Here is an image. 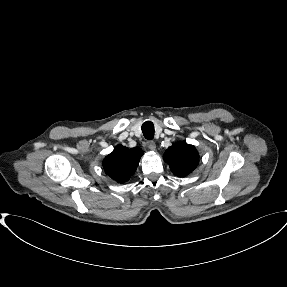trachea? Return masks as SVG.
Segmentation results:
<instances>
[{"instance_id": "3493384b", "label": "trachea", "mask_w": 287, "mask_h": 287, "mask_svg": "<svg viewBox=\"0 0 287 287\" xmlns=\"http://www.w3.org/2000/svg\"><path fill=\"white\" fill-rule=\"evenodd\" d=\"M142 132L147 140L154 138V125L151 121H146L142 124Z\"/></svg>"}]
</instances>
